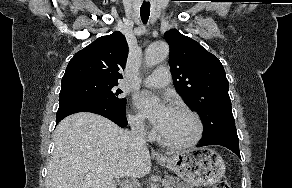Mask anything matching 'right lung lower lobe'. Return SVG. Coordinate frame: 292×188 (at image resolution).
I'll list each match as a JSON object with an SVG mask.
<instances>
[{
    "label": "right lung lower lobe",
    "instance_id": "obj_1",
    "mask_svg": "<svg viewBox=\"0 0 292 188\" xmlns=\"http://www.w3.org/2000/svg\"><path fill=\"white\" fill-rule=\"evenodd\" d=\"M78 112H91L102 115L120 127H126L128 122L125 110H111L81 97H63L59 99V109L56 114V124L63 118Z\"/></svg>",
    "mask_w": 292,
    "mask_h": 188
}]
</instances>
